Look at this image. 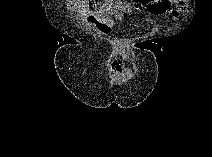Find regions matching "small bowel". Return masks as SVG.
<instances>
[{"instance_id": "obj_1", "label": "small bowel", "mask_w": 212, "mask_h": 157, "mask_svg": "<svg viewBox=\"0 0 212 157\" xmlns=\"http://www.w3.org/2000/svg\"><path fill=\"white\" fill-rule=\"evenodd\" d=\"M79 5L83 10L85 24L95 27L104 35L111 34L114 22L127 19L132 10L146 9L154 16L169 14L179 20L186 9L181 0H102L81 2ZM110 68L112 78L126 72L122 62L117 59L111 62Z\"/></svg>"}]
</instances>
